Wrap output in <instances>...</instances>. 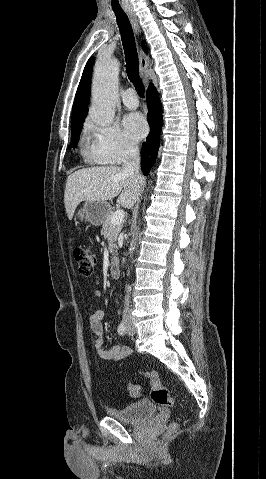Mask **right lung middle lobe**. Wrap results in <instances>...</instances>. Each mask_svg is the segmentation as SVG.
I'll use <instances>...</instances> for the list:
<instances>
[{"mask_svg":"<svg viewBox=\"0 0 266 479\" xmlns=\"http://www.w3.org/2000/svg\"><path fill=\"white\" fill-rule=\"evenodd\" d=\"M83 121L84 120H80V121H76V122L72 123V126H71L72 147H74V148L76 147V145L79 141L81 129H82V126H83Z\"/></svg>","mask_w":266,"mask_h":479,"instance_id":"right-lung-middle-lobe-1","label":"right lung middle lobe"}]
</instances>
